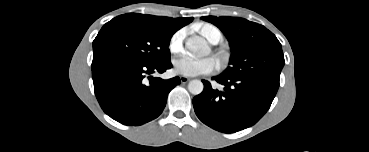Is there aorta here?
I'll return each instance as SVG.
<instances>
[{"mask_svg": "<svg viewBox=\"0 0 369 152\" xmlns=\"http://www.w3.org/2000/svg\"><path fill=\"white\" fill-rule=\"evenodd\" d=\"M186 49L190 54L194 56H204L208 53V46L200 37H190L185 43ZM204 88L203 83L200 80H191L188 84V90L193 95H199Z\"/></svg>", "mask_w": 369, "mask_h": 152, "instance_id": "aorta-1", "label": "aorta"}]
</instances>
